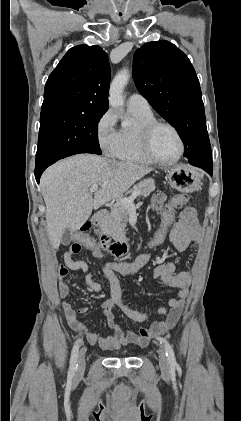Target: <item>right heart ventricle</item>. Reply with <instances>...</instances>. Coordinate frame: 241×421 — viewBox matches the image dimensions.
I'll use <instances>...</instances> for the list:
<instances>
[{"label": "right heart ventricle", "instance_id": "1", "mask_svg": "<svg viewBox=\"0 0 241 421\" xmlns=\"http://www.w3.org/2000/svg\"><path fill=\"white\" fill-rule=\"evenodd\" d=\"M129 111L134 123L132 126L122 127L118 131L117 142L112 156L125 162L151 165L154 162L147 157L141 147L140 132L144 125L156 119L152 111L135 109H129Z\"/></svg>", "mask_w": 241, "mask_h": 421}]
</instances>
